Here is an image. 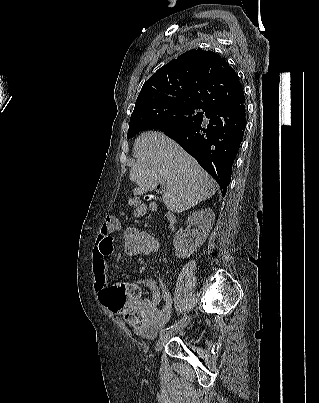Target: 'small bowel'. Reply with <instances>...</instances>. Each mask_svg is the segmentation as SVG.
Instances as JSON below:
<instances>
[{
	"instance_id": "1",
	"label": "small bowel",
	"mask_w": 319,
	"mask_h": 403,
	"mask_svg": "<svg viewBox=\"0 0 319 403\" xmlns=\"http://www.w3.org/2000/svg\"><path fill=\"white\" fill-rule=\"evenodd\" d=\"M120 230L116 213H105L92 255L94 288L98 292L102 309L118 315L122 324H129L132 335L152 340L170 319L173 301L165 282L152 276L134 281V285H128L127 279H111L110 284L107 283L106 258L118 253L116 238ZM143 287L151 291V298H142L140 294H143ZM160 302L164 303L162 307L158 306Z\"/></svg>"
}]
</instances>
